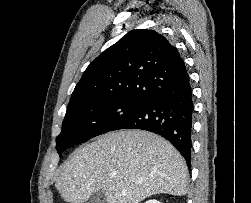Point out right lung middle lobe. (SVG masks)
I'll list each match as a JSON object with an SVG mask.
<instances>
[{
    "label": "right lung middle lobe",
    "mask_w": 251,
    "mask_h": 203,
    "mask_svg": "<svg viewBox=\"0 0 251 203\" xmlns=\"http://www.w3.org/2000/svg\"><path fill=\"white\" fill-rule=\"evenodd\" d=\"M143 104L125 100H97L69 105L62 131L56 139L57 152L61 156L65 149L111 131Z\"/></svg>",
    "instance_id": "dd1d6c3e"
}]
</instances>
